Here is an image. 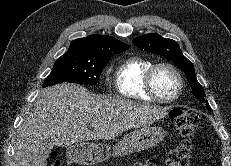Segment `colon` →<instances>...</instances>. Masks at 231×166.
I'll return each instance as SVG.
<instances>
[{
    "mask_svg": "<svg viewBox=\"0 0 231 166\" xmlns=\"http://www.w3.org/2000/svg\"><path fill=\"white\" fill-rule=\"evenodd\" d=\"M169 115L174 123L176 130L182 137V140L168 154L165 162L166 166H189L192 150V139L194 138L198 128L199 118L194 112L177 108L172 109L169 112ZM51 160L54 161V166H60V162L57 160V155L53 154L51 156ZM134 166L159 165L157 160L147 159L135 163Z\"/></svg>",
    "mask_w": 231,
    "mask_h": 166,
    "instance_id": "obj_1",
    "label": "colon"
}]
</instances>
